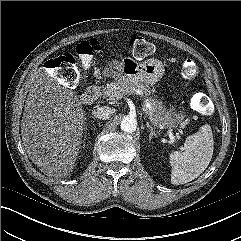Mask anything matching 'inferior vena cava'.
<instances>
[{
    "mask_svg": "<svg viewBox=\"0 0 241 241\" xmlns=\"http://www.w3.org/2000/svg\"><path fill=\"white\" fill-rule=\"evenodd\" d=\"M95 109L92 110V114L94 115V117L98 118V119H102V120H107L111 117V115H113L115 113V109L114 108H110L108 106H99L97 105L96 107H94Z\"/></svg>",
    "mask_w": 241,
    "mask_h": 241,
    "instance_id": "inferior-vena-cava-1",
    "label": "inferior vena cava"
}]
</instances>
